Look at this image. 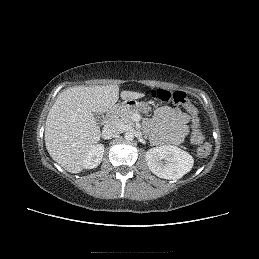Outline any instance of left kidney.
Segmentation results:
<instances>
[{
	"label": "left kidney",
	"mask_w": 259,
	"mask_h": 259,
	"mask_svg": "<svg viewBox=\"0 0 259 259\" xmlns=\"http://www.w3.org/2000/svg\"><path fill=\"white\" fill-rule=\"evenodd\" d=\"M145 160L149 169L158 177L168 180L181 178L193 166L192 156L173 145L151 148L146 152Z\"/></svg>",
	"instance_id": "5707ae66"
}]
</instances>
